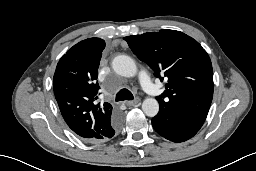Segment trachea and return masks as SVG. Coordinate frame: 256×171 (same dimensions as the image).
Segmentation results:
<instances>
[{"label": "trachea", "mask_w": 256, "mask_h": 171, "mask_svg": "<svg viewBox=\"0 0 256 171\" xmlns=\"http://www.w3.org/2000/svg\"><path fill=\"white\" fill-rule=\"evenodd\" d=\"M133 94L128 90V89H121L117 94H116V102L118 101H124V100H133Z\"/></svg>", "instance_id": "1"}]
</instances>
